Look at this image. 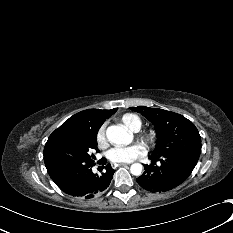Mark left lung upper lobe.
Listing matches in <instances>:
<instances>
[{
    "label": "left lung upper lobe",
    "instance_id": "obj_1",
    "mask_svg": "<svg viewBox=\"0 0 233 233\" xmlns=\"http://www.w3.org/2000/svg\"><path fill=\"white\" fill-rule=\"evenodd\" d=\"M150 120L158 138L152 155H176L197 163L201 137L195 125L175 112L145 106L130 107Z\"/></svg>",
    "mask_w": 233,
    "mask_h": 233
}]
</instances>
